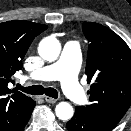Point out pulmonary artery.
Segmentation results:
<instances>
[{
    "mask_svg": "<svg viewBox=\"0 0 131 131\" xmlns=\"http://www.w3.org/2000/svg\"><path fill=\"white\" fill-rule=\"evenodd\" d=\"M81 62V49L76 41L67 42L57 61L46 65L26 76V79L34 81L59 80L64 92L78 104H85L87 95L81 89L77 73Z\"/></svg>",
    "mask_w": 131,
    "mask_h": 131,
    "instance_id": "e3ab8cb5",
    "label": "pulmonary artery"
}]
</instances>
